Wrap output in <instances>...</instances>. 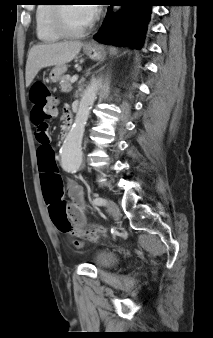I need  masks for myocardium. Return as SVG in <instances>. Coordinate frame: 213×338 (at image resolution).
Wrapping results in <instances>:
<instances>
[{
  "mask_svg": "<svg viewBox=\"0 0 213 338\" xmlns=\"http://www.w3.org/2000/svg\"><path fill=\"white\" fill-rule=\"evenodd\" d=\"M56 6V5H55ZM69 5H57L56 7H53L52 12V27L53 29L61 36L65 38H80L89 33L92 28L93 24L91 23L88 27L85 29L79 30V31H72L69 30L64 22L63 18V10L65 7Z\"/></svg>",
  "mask_w": 213,
  "mask_h": 338,
  "instance_id": "obj_1",
  "label": "myocardium"
}]
</instances>
